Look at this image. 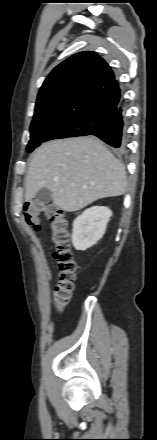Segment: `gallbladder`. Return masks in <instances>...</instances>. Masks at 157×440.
<instances>
[{"label":"gallbladder","instance_id":"1","mask_svg":"<svg viewBox=\"0 0 157 440\" xmlns=\"http://www.w3.org/2000/svg\"><path fill=\"white\" fill-rule=\"evenodd\" d=\"M35 199L39 204L47 205L52 200V192L47 188H42L37 192Z\"/></svg>","mask_w":157,"mask_h":440}]
</instances>
